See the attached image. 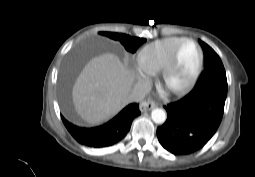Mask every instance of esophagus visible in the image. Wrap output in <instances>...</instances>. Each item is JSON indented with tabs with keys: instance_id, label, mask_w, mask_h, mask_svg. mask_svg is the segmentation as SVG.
I'll list each match as a JSON object with an SVG mask.
<instances>
[{
	"instance_id": "obj_1",
	"label": "esophagus",
	"mask_w": 255,
	"mask_h": 177,
	"mask_svg": "<svg viewBox=\"0 0 255 177\" xmlns=\"http://www.w3.org/2000/svg\"><path fill=\"white\" fill-rule=\"evenodd\" d=\"M156 106V103L151 100H144L140 103V111L141 112H147L150 111L152 108Z\"/></svg>"
}]
</instances>
